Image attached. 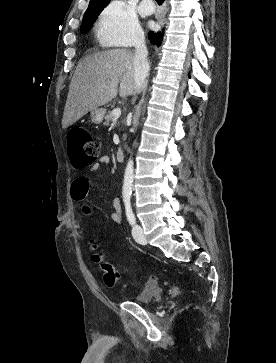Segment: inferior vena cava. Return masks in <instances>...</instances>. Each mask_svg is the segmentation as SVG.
Listing matches in <instances>:
<instances>
[{
  "label": "inferior vena cava",
  "mask_w": 276,
  "mask_h": 363,
  "mask_svg": "<svg viewBox=\"0 0 276 363\" xmlns=\"http://www.w3.org/2000/svg\"><path fill=\"white\" fill-rule=\"evenodd\" d=\"M148 50L144 37H141L135 43V54L133 61L134 80L136 89L139 90L145 83V79L149 73V62L147 59Z\"/></svg>",
  "instance_id": "1"
}]
</instances>
